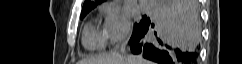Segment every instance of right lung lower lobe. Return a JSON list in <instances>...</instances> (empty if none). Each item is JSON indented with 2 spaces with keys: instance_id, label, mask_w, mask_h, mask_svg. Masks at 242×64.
Masks as SVG:
<instances>
[{
  "instance_id": "right-lung-lower-lobe-1",
  "label": "right lung lower lobe",
  "mask_w": 242,
  "mask_h": 64,
  "mask_svg": "<svg viewBox=\"0 0 242 64\" xmlns=\"http://www.w3.org/2000/svg\"><path fill=\"white\" fill-rule=\"evenodd\" d=\"M156 12L158 36L145 39L154 27L150 22L131 37L132 53L159 64H196L201 32L197 0H157Z\"/></svg>"
}]
</instances>
